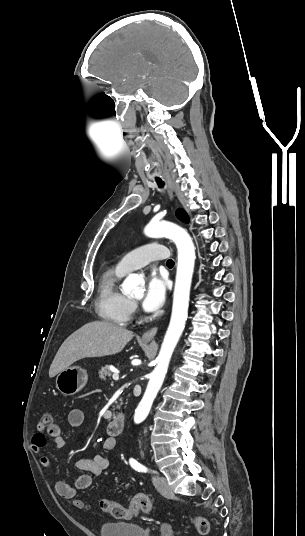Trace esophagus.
Returning <instances> with one entry per match:
<instances>
[{"label":"esophagus","instance_id":"obj_1","mask_svg":"<svg viewBox=\"0 0 305 536\" xmlns=\"http://www.w3.org/2000/svg\"><path fill=\"white\" fill-rule=\"evenodd\" d=\"M164 179L166 180V184H167V191L169 193V196H170V199L172 200L173 199V183H172V178L169 176V175H164ZM157 327L154 326V328H150V330H147L143 335H142V341L143 342H149L151 340H153L154 336L156 335L157 333Z\"/></svg>","mask_w":305,"mask_h":536}]
</instances>
